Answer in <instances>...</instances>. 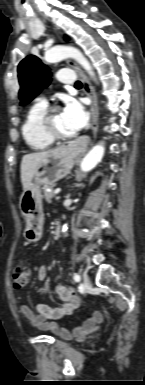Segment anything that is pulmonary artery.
Returning <instances> with one entry per match:
<instances>
[{"mask_svg": "<svg viewBox=\"0 0 145 385\" xmlns=\"http://www.w3.org/2000/svg\"><path fill=\"white\" fill-rule=\"evenodd\" d=\"M57 77L59 81L65 84H72L75 81V76L69 69H62L58 72ZM42 103L46 104L44 99L41 100Z\"/></svg>", "mask_w": 145, "mask_h": 385, "instance_id": "1", "label": "pulmonary artery"}]
</instances>
